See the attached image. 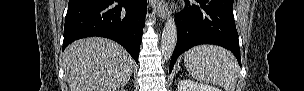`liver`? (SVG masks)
I'll return each mask as SVG.
<instances>
[{"instance_id": "1", "label": "liver", "mask_w": 304, "mask_h": 91, "mask_svg": "<svg viewBox=\"0 0 304 91\" xmlns=\"http://www.w3.org/2000/svg\"><path fill=\"white\" fill-rule=\"evenodd\" d=\"M63 66L71 91H119L129 81L134 61L118 43L93 37L70 44Z\"/></svg>"}]
</instances>
